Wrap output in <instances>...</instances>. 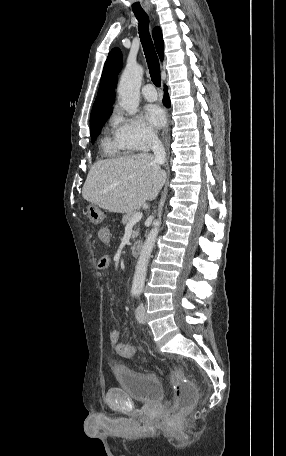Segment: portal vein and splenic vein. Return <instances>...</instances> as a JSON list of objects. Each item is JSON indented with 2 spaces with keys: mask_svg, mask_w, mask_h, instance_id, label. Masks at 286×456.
I'll list each match as a JSON object with an SVG mask.
<instances>
[{
  "mask_svg": "<svg viewBox=\"0 0 286 456\" xmlns=\"http://www.w3.org/2000/svg\"><path fill=\"white\" fill-rule=\"evenodd\" d=\"M142 216H143L142 212H136L133 215V217L131 218L129 223H136V222L140 221Z\"/></svg>",
  "mask_w": 286,
  "mask_h": 456,
  "instance_id": "obj_1",
  "label": "portal vein and splenic vein"
}]
</instances>
